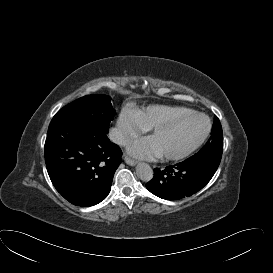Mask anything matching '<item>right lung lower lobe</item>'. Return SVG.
Segmentation results:
<instances>
[{
    "label": "right lung lower lobe",
    "instance_id": "right-lung-lower-lobe-1",
    "mask_svg": "<svg viewBox=\"0 0 273 273\" xmlns=\"http://www.w3.org/2000/svg\"><path fill=\"white\" fill-rule=\"evenodd\" d=\"M122 152L105 132L65 120L49 126L45 162L57 191L77 206H93L106 198Z\"/></svg>",
    "mask_w": 273,
    "mask_h": 273
}]
</instances>
